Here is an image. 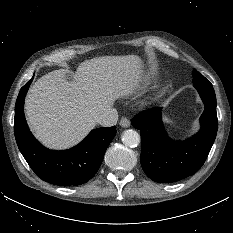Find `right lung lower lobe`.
<instances>
[{
    "label": "right lung lower lobe",
    "mask_w": 233,
    "mask_h": 233,
    "mask_svg": "<svg viewBox=\"0 0 233 233\" xmlns=\"http://www.w3.org/2000/svg\"><path fill=\"white\" fill-rule=\"evenodd\" d=\"M32 80L21 88L15 104L14 133L19 150L35 174L46 182L60 186L87 182L98 171L116 127L94 129L69 150L44 148L30 132L24 116V100Z\"/></svg>",
    "instance_id": "98d812e1"
}]
</instances>
